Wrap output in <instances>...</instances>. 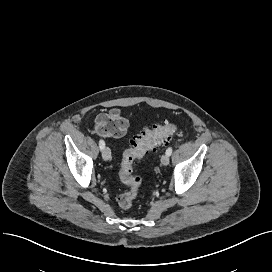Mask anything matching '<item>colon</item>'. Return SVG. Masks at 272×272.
Here are the masks:
<instances>
[{
	"mask_svg": "<svg viewBox=\"0 0 272 272\" xmlns=\"http://www.w3.org/2000/svg\"><path fill=\"white\" fill-rule=\"evenodd\" d=\"M126 127L127 119L118 110L103 113L96 118L95 130L102 136H122L126 131ZM177 130V125L172 122L154 126L151 130H147L142 135L133 138L129 147L123 150L119 177L127 185L128 190L117 198L120 208L130 209L139 193L142 179L133 175L135 161L148 152L154 151L159 144L168 143Z\"/></svg>",
	"mask_w": 272,
	"mask_h": 272,
	"instance_id": "1",
	"label": "colon"
}]
</instances>
